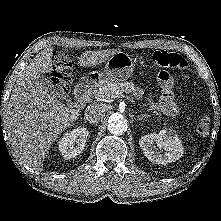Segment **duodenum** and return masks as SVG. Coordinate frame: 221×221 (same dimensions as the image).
Masks as SVG:
<instances>
[{"mask_svg": "<svg viewBox=\"0 0 221 221\" xmlns=\"http://www.w3.org/2000/svg\"><path fill=\"white\" fill-rule=\"evenodd\" d=\"M93 85H94L93 80L85 79L76 86L75 92H74L76 104H81L85 100V98L87 97Z\"/></svg>", "mask_w": 221, "mask_h": 221, "instance_id": "duodenum-1", "label": "duodenum"}]
</instances>
